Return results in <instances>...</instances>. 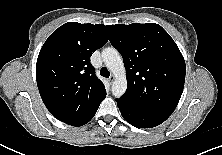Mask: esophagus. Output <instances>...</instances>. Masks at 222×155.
<instances>
[{"label": "esophagus", "instance_id": "esophagus-1", "mask_svg": "<svg viewBox=\"0 0 222 155\" xmlns=\"http://www.w3.org/2000/svg\"><path fill=\"white\" fill-rule=\"evenodd\" d=\"M114 79H115V77L112 75V76L109 77L108 81H109L110 83H112V82L114 81Z\"/></svg>", "mask_w": 222, "mask_h": 155}]
</instances>
